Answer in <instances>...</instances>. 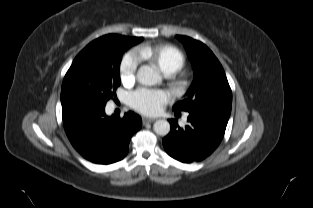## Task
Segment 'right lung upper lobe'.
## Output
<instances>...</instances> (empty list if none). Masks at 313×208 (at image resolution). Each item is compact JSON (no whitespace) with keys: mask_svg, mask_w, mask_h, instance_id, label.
<instances>
[{"mask_svg":"<svg viewBox=\"0 0 313 208\" xmlns=\"http://www.w3.org/2000/svg\"><path fill=\"white\" fill-rule=\"evenodd\" d=\"M109 39H119L128 43H131L132 45H135L139 42H141L143 40V38H138V37H126V36H120V35H116V34H109V35H105L102 36L94 41H92L90 44H88L78 55L75 59H78L80 57H82L83 55H86L90 52H94L96 49H98V47L100 46V44L106 40Z\"/></svg>","mask_w":313,"mask_h":208,"instance_id":"cb5924a9","label":"right lung upper lobe"}]
</instances>
